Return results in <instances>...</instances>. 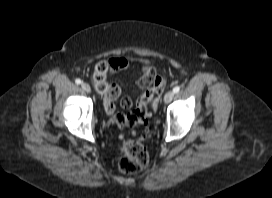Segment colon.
<instances>
[{"instance_id": "1", "label": "colon", "mask_w": 272, "mask_h": 198, "mask_svg": "<svg viewBox=\"0 0 272 198\" xmlns=\"http://www.w3.org/2000/svg\"><path fill=\"white\" fill-rule=\"evenodd\" d=\"M112 71V66L106 62H100L96 65L93 73V82L97 91L102 94H107L111 91L113 85L108 82V76ZM163 81L160 78H148L141 80L139 85L143 88H151L162 86ZM161 91V90H160ZM159 91V92H160ZM152 99L150 97L139 99L136 107L128 114H116L113 122L118 127L141 124L144 126V133L146 136L152 132V125L150 124L149 110ZM120 150L122 158L119 161L118 169L124 174H134L144 169L148 162L149 156L144 145L135 139H123Z\"/></svg>"}]
</instances>
